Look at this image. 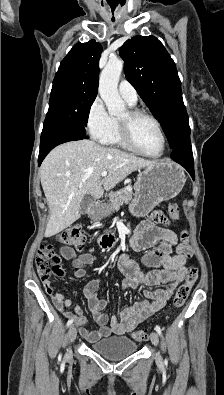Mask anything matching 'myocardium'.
I'll return each mask as SVG.
<instances>
[{
	"mask_svg": "<svg viewBox=\"0 0 224 395\" xmlns=\"http://www.w3.org/2000/svg\"><path fill=\"white\" fill-rule=\"evenodd\" d=\"M141 117L150 119L156 125L160 133V136L162 138V149L161 152L158 154H150L145 152L139 147V145L135 141L133 134V125L134 122ZM119 128L123 142L127 145L128 148H130L134 152L149 158H161L164 155L167 147V138L160 121L153 114L142 109L131 108L127 111V117L125 119H119Z\"/></svg>",
	"mask_w": 224,
	"mask_h": 395,
	"instance_id": "1",
	"label": "myocardium"
}]
</instances>
